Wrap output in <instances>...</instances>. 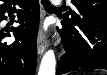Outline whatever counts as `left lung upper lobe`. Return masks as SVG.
<instances>
[{"mask_svg":"<svg viewBox=\"0 0 107 75\" xmlns=\"http://www.w3.org/2000/svg\"><path fill=\"white\" fill-rule=\"evenodd\" d=\"M80 4L76 7V11L67 12L64 15L63 22L80 38H83L80 32L83 16L106 14L107 0H78ZM86 42V40H83ZM89 49L86 50L88 52Z\"/></svg>","mask_w":107,"mask_h":75,"instance_id":"obj_1","label":"left lung upper lobe"}]
</instances>
